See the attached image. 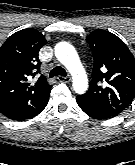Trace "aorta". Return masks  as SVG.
Instances as JSON below:
<instances>
[{"instance_id": "aorta-1", "label": "aorta", "mask_w": 135, "mask_h": 165, "mask_svg": "<svg viewBox=\"0 0 135 165\" xmlns=\"http://www.w3.org/2000/svg\"><path fill=\"white\" fill-rule=\"evenodd\" d=\"M55 56L71 73L74 91L84 93L88 88V79L75 48L67 42H60L55 47Z\"/></svg>"}]
</instances>
